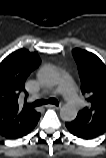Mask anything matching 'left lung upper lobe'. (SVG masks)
<instances>
[{
  "label": "left lung upper lobe",
  "instance_id": "5c2ea615",
  "mask_svg": "<svg viewBox=\"0 0 106 158\" xmlns=\"http://www.w3.org/2000/svg\"><path fill=\"white\" fill-rule=\"evenodd\" d=\"M81 80V91L88 96V105L69 124L88 139L106 132V66L95 54L72 51Z\"/></svg>",
  "mask_w": 106,
  "mask_h": 158
}]
</instances>
